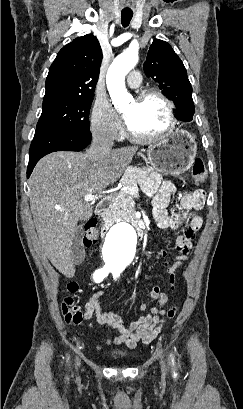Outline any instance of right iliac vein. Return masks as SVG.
<instances>
[{"label": "right iliac vein", "mask_w": 243, "mask_h": 409, "mask_svg": "<svg viewBox=\"0 0 243 409\" xmlns=\"http://www.w3.org/2000/svg\"><path fill=\"white\" fill-rule=\"evenodd\" d=\"M79 364H80V362H79V360L77 359V360H76V367H78Z\"/></svg>", "instance_id": "obj_1"}]
</instances>
